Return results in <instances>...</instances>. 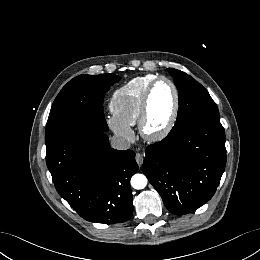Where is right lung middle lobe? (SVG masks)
<instances>
[{
    "label": "right lung middle lobe",
    "mask_w": 260,
    "mask_h": 260,
    "mask_svg": "<svg viewBox=\"0 0 260 260\" xmlns=\"http://www.w3.org/2000/svg\"><path fill=\"white\" fill-rule=\"evenodd\" d=\"M120 80L115 74L80 75L68 82L56 97L46 125V148L51 152L68 134L82 127L108 131L103 99Z\"/></svg>",
    "instance_id": "right-lung-middle-lobe-1"
}]
</instances>
